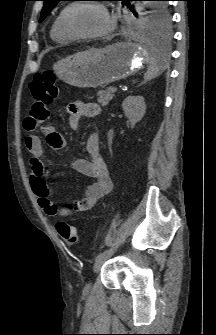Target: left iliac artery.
<instances>
[{
    "instance_id": "left-iliac-artery-1",
    "label": "left iliac artery",
    "mask_w": 216,
    "mask_h": 335,
    "mask_svg": "<svg viewBox=\"0 0 216 335\" xmlns=\"http://www.w3.org/2000/svg\"><path fill=\"white\" fill-rule=\"evenodd\" d=\"M113 252H114L113 247L105 249L96 256V260L101 259V258H105V257L111 255Z\"/></svg>"
}]
</instances>
